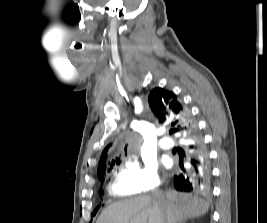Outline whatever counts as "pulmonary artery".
Listing matches in <instances>:
<instances>
[{
	"mask_svg": "<svg viewBox=\"0 0 267 223\" xmlns=\"http://www.w3.org/2000/svg\"><path fill=\"white\" fill-rule=\"evenodd\" d=\"M159 146L162 149H170L173 146V142L171 139L164 137V138L160 139Z\"/></svg>",
	"mask_w": 267,
	"mask_h": 223,
	"instance_id": "1",
	"label": "pulmonary artery"
}]
</instances>
